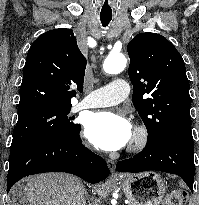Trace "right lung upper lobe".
<instances>
[{
    "instance_id": "cb5924a9",
    "label": "right lung upper lobe",
    "mask_w": 199,
    "mask_h": 205,
    "mask_svg": "<svg viewBox=\"0 0 199 205\" xmlns=\"http://www.w3.org/2000/svg\"><path fill=\"white\" fill-rule=\"evenodd\" d=\"M86 64L72 29L59 28L39 36L27 54L18 111L71 104L76 96L71 87L83 91Z\"/></svg>"
}]
</instances>
